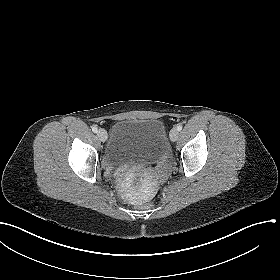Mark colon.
<instances>
[{"label":"colon","instance_id":"obj_1","mask_svg":"<svg viewBox=\"0 0 280 280\" xmlns=\"http://www.w3.org/2000/svg\"><path fill=\"white\" fill-rule=\"evenodd\" d=\"M149 206H151V203L143 204V207H149Z\"/></svg>","mask_w":280,"mask_h":280}]
</instances>
